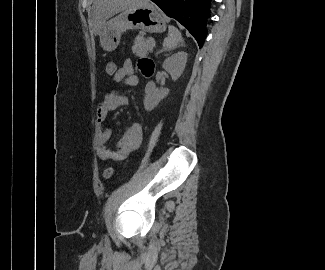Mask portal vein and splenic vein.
<instances>
[{
	"mask_svg": "<svg viewBox=\"0 0 325 270\" xmlns=\"http://www.w3.org/2000/svg\"><path fill=\"white\" fill-rule=\"evenodd\" d=\"M151 40V45H152V47H154L155 46V41H154V39H150Z\"/></svg>",
	"mask_w": 325,
	"mask_h": 270,
	"instance_id": "portal-vein-and-splenic-vein-1",
	"label": "portal vein and splenic vein"
}]
</instances>
